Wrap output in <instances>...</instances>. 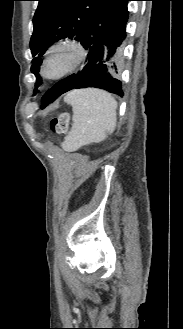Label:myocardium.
Returning a JSON list of instances; mask_svg holds the SVG:
<instances>
[{"label":"myocardium","instance_id":"obj_1","mask_svg":"<svg viewBox=\"0 0 183 329\" xmlns=\"http://www.w3.org/2000/svg\"><path fill=\"white\" fill-rule=\"evenodd\" d=\"M62 47L72 48L76 52V59H75L74 63L69 68H67L66 70H64L58 74H55V75L46 74L45 67H46V64H47L49 58L55 51H57L58 49H60ZM85 58H86V49L80 41H78L76 39H72V38H65V39L59 40L56 43L52 44L45 51L43 60L41 63L40 74L46 80L61 79L65 76L73 73L75 70H77L82 65Z\"/></svg>","mask_w":183,"mask_h":329}]
</instances>
